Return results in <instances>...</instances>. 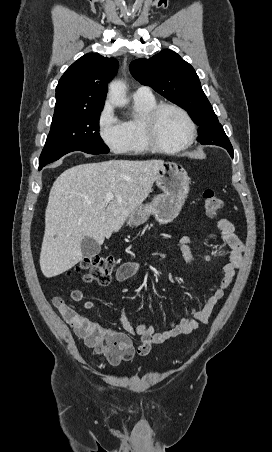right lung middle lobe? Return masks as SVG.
Wrapping results in <instances>:
<instances>
[{"label":"right lung middle lobe","mask_w":272,"mask_h":452,"mask_svg":"<svg viewBox=\"0 0 272 452\" xmlns=\"http://www.w3.org/2000/svg\"><path fill=\"white\" fill-rule=\"evenodd\" d=\"M102 108L54 116L39 165L52 163L72 151L106 154L109 148L99 134Z\"/></svg>","instance_id":"1"}]
</instances>
